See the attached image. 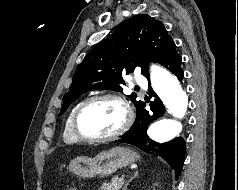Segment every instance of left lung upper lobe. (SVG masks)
<instances>
[{
  "label": "left lung upper lobe",
  "mask_w": 238,
  "mask_h": 190,
  "mask_svg": "<svg viewBox=\"0 0 238 190\" xmlns=\"http://www.w3.org/2000/svg\"><path fill=\"white\" fill-rule=\"evenodd\" d=\"M176 46L164 25L147 14L123 21L107 39L94 47L77 68L69 91L63 97L61 116L80 95L91 90L122 91V74H130L141 67L149 78L148 62L162 64ZM137 107L142 101L136 94L128 96Z\"/></svg>",
  "instance_id": "5c2ea615"
}]
</instances>
